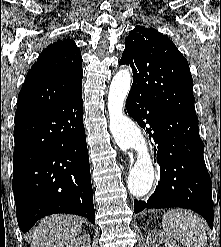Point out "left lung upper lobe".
<instances>
[{"label": "left lung upper lobe", "instance_id": "1", "mask_svg": "<svg viewBox=\"0 0 221 247\" xmlns=\"http://www.w3.org/2000/svg\"><path fill=\"white\" fill-rule=\"evenodd\" d=\"M120 64L133 70L134 96L197 118L188 62L168 37L154 28L136 26L125 38Z\"/></svg>", "mask_w": 221, "mask_h": 247}]
</instances>
